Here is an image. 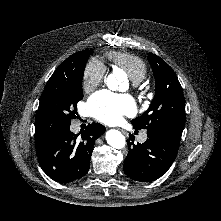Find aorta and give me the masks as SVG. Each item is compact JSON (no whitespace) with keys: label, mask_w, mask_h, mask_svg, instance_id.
<instances>
[{"label":"aorta","mask_w":221,"mask_h":221,"mask_svg":"<svg viewBox=\"0 0 221 221\" xmlns=\"http://www.w3.org/2000/svg\"><path fill=\"white\" fill-rule=\"evenodd\" d=\"M107 86L110 90L114 91L118 89L119 81L115 74H110L107 77ZM106 141L107 143L116 149H122L125 146V137L124 135L118 130H109L106 132Z\"/></svg>","instance_id":"obj_1"}]
</instances>
